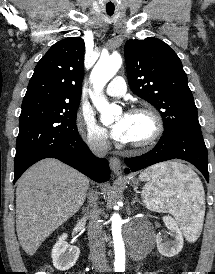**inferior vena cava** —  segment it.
<instances>
[{
  "label": "inferior vena cava",
  "instance_id": "obj_1",
  "mask_svg": "<svg viewBox=\"0 0 215 274\" xmlns=\"http://www.w3.org/2000/svg\"><path fill=\"white\" fill-rule=\"evenodd\" d=\"M89 146L93 153L99 157H105L109 149V144L103 137L92 138L89 141ZM97 199L98 196L96 192H89L88 200L92 210L87 215V218L90 221L88 238L93 266L97 271H102L106 269L107 261L102 225L99 218V210L97 208Z\"/></svg>",
  "mask_w": 215,
  "mask_h": 274
}]
</instances>
